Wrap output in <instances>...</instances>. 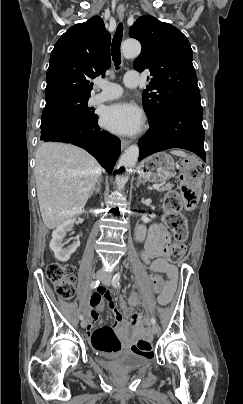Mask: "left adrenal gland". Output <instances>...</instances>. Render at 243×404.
Returning a JSON list of instances; mask_svg holds the SVG:
<instances>
[{
  "instance_id": "a2214340",
  "label": "left adrenal gland",
  "mask_w": 243,
  "mask_h": 404,
  "mask_svg": "<svg viewBox=\"0 0 243 404\" xmlns=\"http://www.w3.org/2000/svg\"><path fill=\"white\" fill-rule=\"evenodd\" d=\"M140 184H142V178H141V176H138V180H137V184H136L137 188H139Z\"/></svg>"
}]
</instances>
